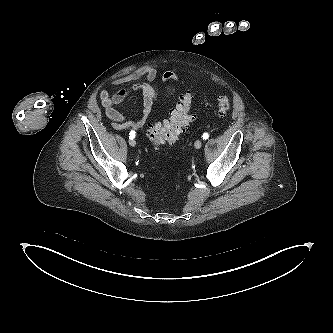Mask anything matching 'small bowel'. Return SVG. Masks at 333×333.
<instances>
[{
	"mask_svg": "<svg viewBox=\"0 0 333 333\" xmlns=\"http://www.w3.org/2000/svg\"><path fill=\"white\" fill-rule=\"evenodd\" d=\"M156 77V69L151 65H144L113 80L112 85L117 87L115 91L103 90L100 92L101 105L115 130L130 129L135 132L145 125L150 116L152 105L157 100V91L152 84ZM163 77L165 81L177 79L176 75L170 71L165 72ZM129 84L131 85L126 87ZM135 91H140L143 96L142 113L139 120H129L115 106L122 103L131 92Z\"/></svg>",
	"mask_w": 333,
	"mask_h": 333,
	"instance_id": "1",
	"label": "small bowel"
}]
</instances>
